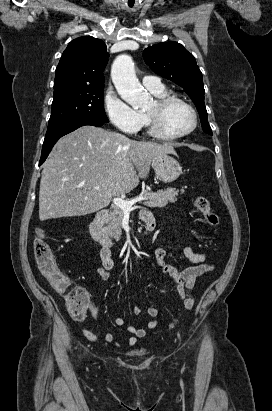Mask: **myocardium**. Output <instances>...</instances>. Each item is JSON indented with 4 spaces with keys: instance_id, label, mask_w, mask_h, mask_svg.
<instances>
[{
    "instance_id": "1",
    "label": "myocardium",
    "mask_w": 272,
    "mask_h": 411,
    "mask_svg": "<svg viewBox=\"0 0 272 411\" xmlns=\"http://www.w3.org/2000/svg\"><path fill=\"white\" fill-rule=\"evenodd\" d=\"M154 102H155L157 111L156 112H145V119H146L149 133L155 138H158L160 140H165V141L178 140V139H182L190 135L196 129L198 125L197 112L195 108L185 99L177 97V96L166 95L162 97H157ZM174 104L184 105L191 112V115H192L191 127L185 132H182L179 134H169L165 132L160 122V118L163 115V113L170 106Z\"/></svg>"
}]
</instances>
